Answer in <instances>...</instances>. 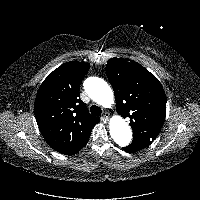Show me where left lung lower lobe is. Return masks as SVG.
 Returning <instances> with one entry per match:
<instances>
[{
	"label": "left lung lower lobe",
	"mask_w": 200,
	"mask_h": 200,
	"mask_svg": "<svg viewBox=\"0 0 200 200\" xmlns=\"http://www.w3.org/2000/svg\"><path fill=\"white\" fill-rule=\"evenodd\" d=\"M124 150L128 153H133V152H136L138 150H136L135 148L131 147V146H127V147H124Z\"/></svg>",
	"instance_id": "1"
}]
</instances>
